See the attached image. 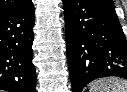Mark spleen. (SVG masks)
I'll return each instance as SVG.
<instances>
[{
  "instance_id": "obj_1",
  "label": "spleen",
  "mask_w": 127,
  "mask_h": 92,
  "mask_svg": "<svg viewBox=\"0 0 127 92\" xmlns=\"http://www.w3.org/2000/svg\"><path fill=\"white\" fill-rule=\"evenodd\" d=\"M89 92H127V80L116 77L99 79L91 83Z\"/></svg>"
}]
</instances>
